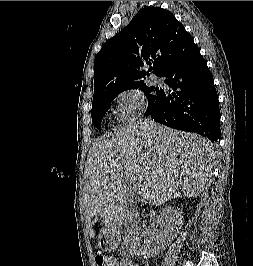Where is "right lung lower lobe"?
Here are the masks:
<instances>
[{
	"label": "right lung lower lobe",
	"mask_w": 253,
	"mask_h": 266,
	"mask_svg": "<svg viewBox=\"0 0 253 266\" xmlns=\"http://www.w3.org/2000/svg\"><path fill=\"white\" fill-rule=\"evenodd\" d=\"M163 77L175 92L161 89L159 101L145 115L168 127L196 132L212 142H219L218 95L199 49Z\"/></svg>",
	"instance_id": "1"
}]
</instances>
